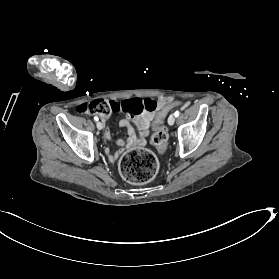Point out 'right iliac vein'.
Wrapping results in <instances>:
<instances>
[{"label": "right iliac vein", "mask_w": 279, "mask_h": 279, "mask_svg": "<svg viewBox=\"0 0 279 279\" xmlns=\"http://www.w3.org/2000/svg\"><path fill=\"white\" fill-rule=\"evenodd\" d=\"M96 126L98 130H101L103 128V124L100 121L97 122Z\"/></svg>", "instance_id": "obj_1"}]
</instances>
